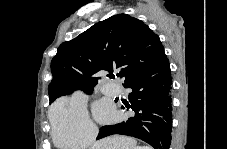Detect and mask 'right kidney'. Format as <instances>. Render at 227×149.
<instances>
[{"label": "right kidney", "instance_id": "ca27d5eb", "mask_svg": "<svg viewBox=\"0 0 227 149\" xmlns=\"http://www.w3.org/2000/svg\"><path fill=\"white\" fill-rule=\"evenodd\" d=\"M134 149H147V147H134Z\"/></svg>", "mask_w": 227, "mask_h": 149}]
</instances>
